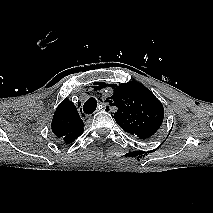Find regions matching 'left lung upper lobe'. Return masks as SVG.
I'll return each instance as SVG.
<instances>
[{"mask_svg":"<svg viewBox=\"0 0 213 213\" xmlns=\"http://www.w3.org/2000/svg\"><path fill=\"white\" fill-rule=\"evenodd\" d=\"M114 94L109 103L118 110L115 121L127 133L147 139L160 128L164 118L162 103L143 84L136 81L111 85Z\"/></svg>","mask_w":213,"mask_h":213,"instance_id":"left-lung-upper-lobe-1","label":"left lung upper lobe"}]
</instances>
